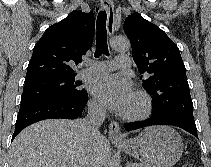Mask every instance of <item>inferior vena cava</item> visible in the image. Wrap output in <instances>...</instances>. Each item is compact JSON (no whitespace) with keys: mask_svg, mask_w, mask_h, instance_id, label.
<instances>
[{"mask_svg":"<svg viewBox=\"0 0 211 167\" xmlns=\"http://www.w3.org/2000/svg\"><path fill=\"white\" fill-rule=\"evenodd\" d=\"M106 115V110L103 106L92 104L88 106V114L83 120V129L89 135L92 142H96L101 138L99 127L103 123ZM82 167H96L92 157L85 160Z\"/></svg>","mask_w":211,"mask_h":167,"instance_id":"inferior-vena-cava-1","label":"inferior vena cava"}]
</instances>
